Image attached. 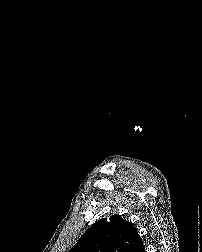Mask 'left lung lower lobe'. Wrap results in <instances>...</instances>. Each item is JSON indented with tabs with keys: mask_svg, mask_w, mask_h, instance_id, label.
Wrapping results in <instances>:
<instances>
[{
	"mask_svg": "<svg viewBox=\"0 0 202 252\" xmlns=\"http://www.w3.org/2000/svg\"><path fill=\"white\" fill-rule=\"evenodd\" d=\"M135 252H145V247L143 245V242H142L141 238L139 240V244H138L137 249L135 250Z\"/></svg>",
	"mask_w": 202,
	"mask_h": 252,
	"instance_id": "left-lung-lower-lobe-1",
	"label": "left lung lower lobe"
}]
</instances>
